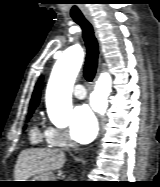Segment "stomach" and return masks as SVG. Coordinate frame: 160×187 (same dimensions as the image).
Here are the masks:
<instances>
[{
    "label": "stomach",
    "mask_w": 160,
    "mask_h": 187,
    "mask_svg": "<svg viewBox=\"0 0 160 187\" xmlns=\"http://www.w3.org/2000/svg\"><path fill=\"white\" fill-rule=\"evenodd\" d=\"M28 181H37V182H29L26 184H23V186H28V187H48L52 186L51 182H46V181H54L52 180V176L49 173L35 176L32 180Z\"/></svg>",
    "instance_id": "stomach-1"
}]
</instances>
